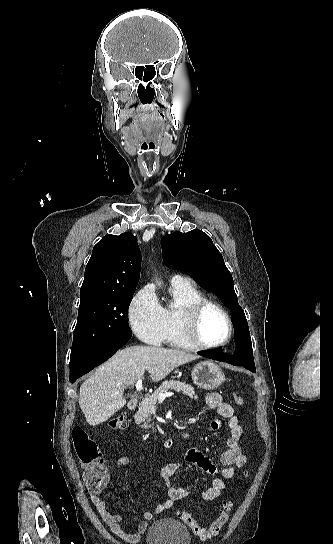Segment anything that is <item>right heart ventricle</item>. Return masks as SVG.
Listing matches in <instances>:
<instances>
[{
  "instance_id": "1",
  "label": "right heart ventricle",
  "mask_w": 333,
  "mask_h": 544,
  "mask_svg": "<svg viewBox=\"0 0 333 544\" xmlns=\"http://www.w3.org/2000/svg\"><path fill=\"white\" fill-rule=\"evenodd\" d=\"M171 294L174 302L166 307H163L166 320L165 342L173 347L191 349L192 344L186 339L182 324L181 314L183 310L201 299L203 294L193 285H172Z\"/></svg>"
}]
</instances>
